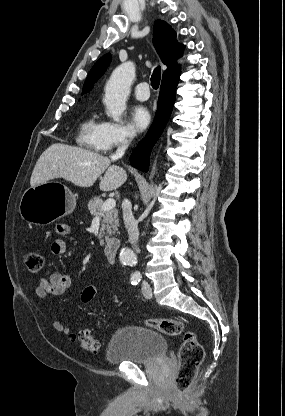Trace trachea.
<instances>
[{
	"mask_svg": "<svg viewBox=\"0 0 285 416\" xmlns=\"http://www.w3.org/2000/svg\"><path fill=\"white\" fill-rule=\"evenodd\" d=\"M161 80V68L157 66L151 76V85L154 89H158Z\"/></svg>",
	"mask_w": 285,
	"mask_h": 416,
	"instance_id": "obj_1",
	"label": "trachea"
}]
</instances>
